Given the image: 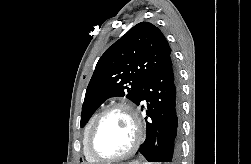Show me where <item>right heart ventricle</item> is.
<instances>
[{
  "instance_id": "1",
  "label": "right heart ventricle",
  "mask_w": 251,
  "mask_h": 164,
  "mask_svg": "<svg viewBox=\"0 0 251 164\" xmlns=\"http://www.w3.org/2000/svg\"><path fill=\"white\" fill-rule=\"evenodd\" d=\"M98 114H99V113L94 114V115L89 119L88 123H87L86 126H85V130H84V138H83V143H84V155H85L87 161L90 162V163L95 162V160L92 159V158L89 156V154H88V152H87V149H86V142H87V137H88L89 131H90V129H91V126H92L94 120L96 119V117L98 116Z\"/></svg>"
}]
</instances>
